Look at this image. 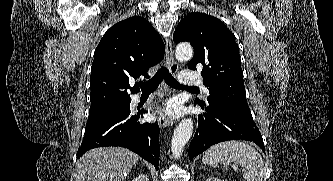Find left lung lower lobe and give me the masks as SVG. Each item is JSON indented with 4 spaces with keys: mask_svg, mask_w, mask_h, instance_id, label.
Returning <instances> with one entry per match:
<instances>
[{
    "mask_svg": "<svg viewBox=\"0 0 333 181\" xmlns=\"http://www.w3.org/2000/svg\"><path fill=\"white\" fill-rule=\"evenodd\" d=\"M199 105L205 113L198 116V128L189 146L190 161L216 143L235 139L252 141L265 152L261 133L250 113L216 103Z\"/></svg>",
    "mask_w": 333,
    "mask_h": 181,
    "instance_id": "left-lung-lower-lobe-1",
    "label": "left lung lower lobe"
}]
</instances>
